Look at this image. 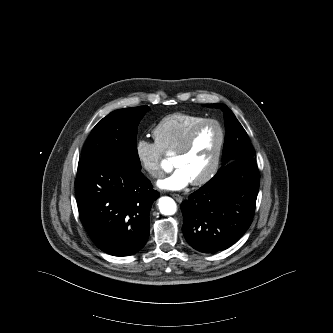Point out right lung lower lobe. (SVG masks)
Listing matches in <instances>:
<instances>
[{"label":"right lung lower lobe","mask_w":333,"mask_h":333,"mask_svg":"<svg viewBox=\"0 0 333 333\" xmlns=\"http://www.w3.org/2000/svg\"><path fill=\"white\" fill-rule=\"evenodd\" d=\"M75 186L81 222L99 249L127 256L145 245L160 194L140 169L114 158L80 160Z\"/></svg>","instance_id":"98d812e1"}]
</instances>
